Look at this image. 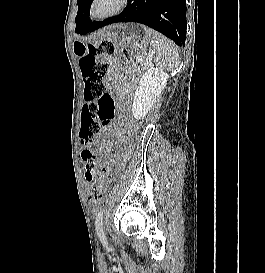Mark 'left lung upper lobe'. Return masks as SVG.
<instances>
[{
	"label": "left lung upper lobe",
	"instance_id": "left-lung-upper-lobe-1",
	"mask_svg": "<svg viewBox=\"0 0 265 273\" xmlns=\"http://www.w3.org/2000/svg\"><path fill=\"white\" fill-rule=\"evenodd\" d=\"M93 0H77L78 12L75 18L76 21V33L80 30L83 23L89 16L90 6Z\"/></svg>",
	"mask_w": 265,
	"mask_h": 273
}]
</instances>
